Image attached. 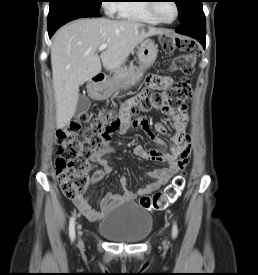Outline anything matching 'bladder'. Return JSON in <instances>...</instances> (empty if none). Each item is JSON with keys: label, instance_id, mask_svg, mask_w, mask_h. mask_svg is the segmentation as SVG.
I'll return each mask as SVG.
<instances>
[{"label": "bladder", "instance_id": "bladder-1", "mask_svg": "<svg viewBox=\"0 0 258 275\" xmlns=\"http://www.w3.org/2000/svg\"><path fill=\"white\" fill-rule=\"evenodd\" d=\"M150 213L134 203H125L105 214L98 224V232L114 242L138 243L152 230Z\"/></svg>", "mask_w": 258, "mask_h": 275}]
</instances>
